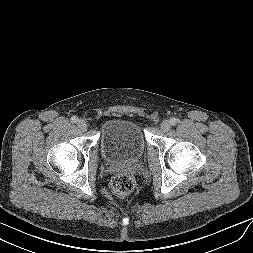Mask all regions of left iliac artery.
Here are the masks:
<instances>
[{
	"label": "left iliac artery",
	"instance_id": "44dca946",
	"mask_svg": "<svg viewBox=\"0 0 253 253\" xmlns=\"http://www.w3.org/2000/svg\"><path fill=\"white\" fill-rule=\"evenodd\" d=\"M177 122H178V120L176 118H171L170 119V124L173 125V126L176 125Z\"/></svg>",
	"mask_w": 253,
	"mask_h": 253
}]
</instances>
